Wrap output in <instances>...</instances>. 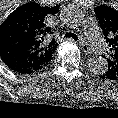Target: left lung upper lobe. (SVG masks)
Wrapping results in <instances>:
<instances>
[{"instance_id": "5c2ea615", "label": "left lung upper lobe", "mask_w": 118, "mask_h": 118, "mask_svg": "<svg viewBox=\"0 0 118 118\" xmlns=\"http://www.w3.org/2000/svg\"><path fill=\"white\" fill-rule=\"evenodd\" d=\"M94 11L110 47L108 69L100 77L118 80V11L107 6H98Z\"/></svg>"}]
</instances>
